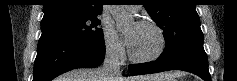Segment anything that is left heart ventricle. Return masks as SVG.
<instances>
[{
	"label": "left heart ventricle",
	"mask_w": 237,
	"mask_h": 81,
	"mask_svg": "<svg viewBox=\"0 0 237 81\" xmlns=\"http://www.w3.org/2000/svg\"><path fill=\"white\" fill-rule=\"evenodd\" d=\"M133 34L130 44L132 52L136 56H147L152 54L159 46V38L151 27L133 24L128 29V34Z\"/></svg>",
	"instance_id": "b2bd125f"
}]
</instances>
